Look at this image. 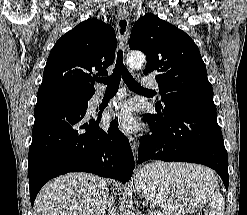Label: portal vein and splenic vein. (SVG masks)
I'll return each instance as SVG.
<instances>
[{
	"mask_svg": "<svg viewBox=\"0 0 247 215\" xmlns=\"http://www.w3.org/2000/svg\"><path fill=\"white\" fill-rule=\"evenodd\" d=\"M154 215H163V213L159 212V211H156V212H154Z\"/></svg>",
	"mask_w": 247,
	"mask_h": 215,
	"instance_id": "1",
	"label": "portal vein and splenic vein"
}]
</instances>
